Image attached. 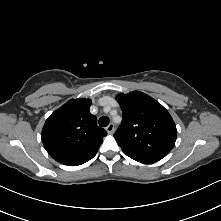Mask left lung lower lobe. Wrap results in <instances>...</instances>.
Segmentation results:
<instances>
[{"label":"left lung lower lobe","mask_w":221,"mask_h":221,"mask_svg":"<svg viewBox=\"0 0 221 221\" xmlns=\"http://www.w3.org/2000/svg\"><path fill=\"white\" fill-rule=\"evenodd\" d=\"M127 156H129L130 158H132L138 162L145 163V164H151V163L158 161V159L148 158V157H144V156H140V155L129 154Z\"/></svg>","instance_id":"0a47b994"}]
</instances>
